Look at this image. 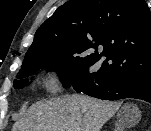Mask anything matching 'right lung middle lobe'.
Masks as SVG:
<instances>
[{
  "label": "right lung middle lobe",
  "mask_w": 151,
  "mask_h": 131,
  "mask_svg": "<svg viewBox=\"0 0 151 131\" xmlns=\"http://www.w3.org/2000/svg\"><path fill=\"white\" fill-rule=\"evenodd\" d=\"M95 61L86 52L69 45L32 46L25 55L21 67V76L37 72L47 67L59 73L64 87L72 86L76 79L105 78L100 70L90 72L89 68ZM28 80H14L16 88H22Z\"/></svg>",
  "instance_id": "1"
}]
</instances>
